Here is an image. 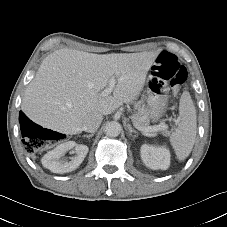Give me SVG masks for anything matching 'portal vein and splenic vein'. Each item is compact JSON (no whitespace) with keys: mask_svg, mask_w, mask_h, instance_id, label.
<instances>
[{"mask_svg":"<svg viewBox=\"0 0 227 227\" xmlns=\"http://www.w3.org/2000/svg\"><path fill=\"white\" fill-rule=\"evenodd\" d=\"M115 84H116V80L114 78H111L109 80L108 86L102 91V93H101L102 96H108V95H110L113 92L114 88H115ZM133 122H134L133 123L134 126L138 130L143 131V132H157V131H161L163 129L168 128V125H166V124H159V125H155V126H152V127H141L134 120H133ZM176 123H178V121H176Z\"/></svg>","mask_w":227,"mask_h":227,"instance_id":"18ae733b","label":"portal vein and splenic vein"}]
</instances>
